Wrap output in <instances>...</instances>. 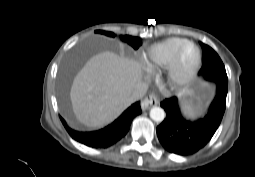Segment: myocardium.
Wrapping results in <instances>:
<instances>
[{"label":"myocardium","instance_id":"1","mask_svg":"<svg viewBox=\"0 0 255 177\" xmlns=\"http://www.w3.org/2000/svg\"><path fill=\"white\" fill-rule=\"evenodd\" d=\"M192 47L194 50V58L191 64L184 72H181L182 58L185 50ZM201 53L198 46L189 40H186L176 51L171 61L166 65L165 76L168 84L174 89H184L190 85L200 68Z\"/></svg>","mask_w":255,"mask_h":177}]
</instances>
